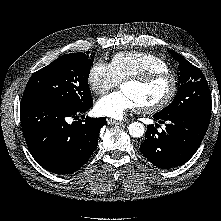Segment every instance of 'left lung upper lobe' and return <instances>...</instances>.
I'll list each match as a JSON object with an SVG mask.
<instances>
[{
  "instance_id": "obj_1",
  "label": "left lung upper lobe",
  "mask_w": 221,
  "mask_h": 221,
  "mask_svg": "<svg viewBox=\"0 0 221 221\" xmlns=\"http://www.w3.org/2000/svg\"><path fill=\"white\" fill-rule=\"evenodd\" d=\"M180 63L181 86L170 105L156 113L160 116L180 115L191 112H211L212 100L204 75L183 56L169 50Z\"/></svg>"
}]
</instances>
